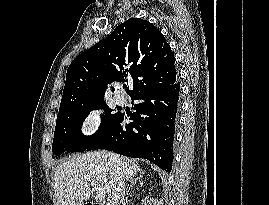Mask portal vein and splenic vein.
I'll use <instances>...</instances> for the list:
<instances>
[{"label": "portal vein and splenic vein", "mask_w": 269, "mask_h": 205, "mask_svg": "<svg viewBox=\"0 0 269 205\" xmlns=\"http://www.w3.org/2000/svg\"><path fill=\"white\" fill-rule=\"evenodd\" d=\"M91 186L96 190V199L101 200L102 198L105 197V190L102 186H100L97 182L91 181L90 182Z\"/></svg>", "instance_id": "18ae733b"}]
</instances>
